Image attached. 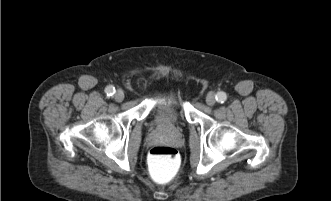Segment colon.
Returning a JSON list of instances; mask_svg holds the SVG:
<instances>
[{
    "mask_svg": "<svg viewBox=\"0 0 331 201\" xmlns=\"http://www.w3.org/2000/svg\"><path fill=\"white\" fill-rule=\"evenodd\" d=\"M181 159L178 151L170 146H155L148 155V170L151 178L166 184L175 179L180 171Z\"/></svg>",
    "mask_w": 331,
    "mask_h": 201,
    "instance_id": "1",
    "label": "colon"
}]
</instances>
